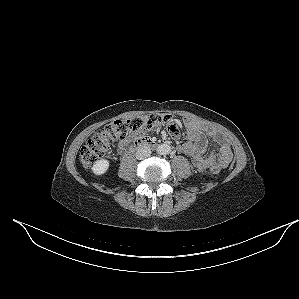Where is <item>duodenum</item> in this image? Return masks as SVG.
<instances>
[{"mask_svg":"<svg viewBox=\"0 0 299 299\" xmlns=\"http://www.w3.org/2000/svg\"><path fill=\"white\" fill-rule=\"evenodd\" d=\"M156 146H157V143L150 138H136L128 144L125 151H131V150H135V149L143 148V147L153 148Z\"/></svg>","mask_w":299,"mask_h":299,"instance_id":"1","label":"duodenum"}]
</instances>
